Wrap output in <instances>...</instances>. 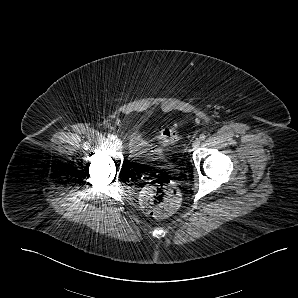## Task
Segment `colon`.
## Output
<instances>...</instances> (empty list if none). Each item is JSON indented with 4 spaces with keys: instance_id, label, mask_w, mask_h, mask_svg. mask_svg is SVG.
Returning <instances> with one entry per match:
<instances>
[{
    "instance_id": "1",
    "label": "colon",
    "mask_w": 298,
    "mask_h": 298,
    "mask_svg": "<svg viewBox=\"0 0 298 298\" xmlns=\"http://www.w3.org/2000/svg\"><path fill=\"white\" fill-rule=\"evenodd\" d=\"M159 139L162 143L171 145L178 141L179 133L175 128H164L160 131ZM140 203L148 215L166 217L177 211L181 196L171 180L157 178L143 188Z\"/></svg>"
}]
</instances>
